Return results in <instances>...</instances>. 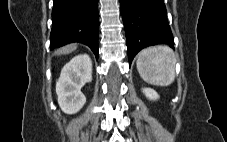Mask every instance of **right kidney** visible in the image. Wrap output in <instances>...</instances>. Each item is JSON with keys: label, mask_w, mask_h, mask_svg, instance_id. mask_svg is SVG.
Listing matches in <instances>:
<instances>
[{"label": "right kidney", "mask_w": 227, "mask_h": 142, "mask_svg": "<svg viewBox=\"0 0 227 142\" xmlns=\"http://www.w3.org/2000/svg\"><path fill=\"white\" fill-rule=\"evenodd\" d=\"M92 80V61L87 54L75 56L62 69L56 83V93L61 109L67 114L77 113L85 104L81 92L85 83Z\"/></svg>", "instance_id": "right-kidney-1"}]
</instances>
